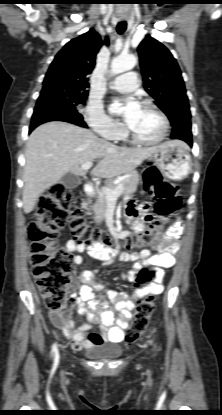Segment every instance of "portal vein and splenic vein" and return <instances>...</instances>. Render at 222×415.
Returning <instances> with one entry per match:
<instances>
[{
  "mask_svg": "<svg viewBox=\"0 0 222 415\" xmlns=\"http://www.w3.org/2000/svg\"><path fill=\"white\" fill-rule=\"evenodd\" d=\"M92 165H93L92 162H85L81 165V168L83 170H88L92 167ZM123 189L124 187L121 184V185H118L116 189L114 190H111L107 187H103L102 191L106 194L108 203L115 204L117 201V198L121 195Z\"/></svg>",
  "mask_w": 222,
  "mask_h": 415,
  "instance_id": "obj_1",
  "label": "portal vein and splenic vein"
}]
</instances>
